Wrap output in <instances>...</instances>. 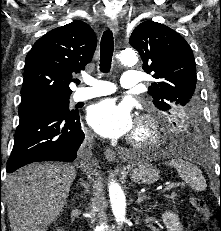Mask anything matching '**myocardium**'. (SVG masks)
Masks as SVG:
<instances>
[{
  "instance_id": "f54148a6",
  "label": "myocardium",
  "mask_w": 221,
  "mask_h": 231,
  "mask_svg": "<svg viewBox=\"0 0 221 231\" xmlns=\"http://www.w3.org/2000/svg\"><path fill=\"white\" fill-rule=\"evenodd\" d=\"M161 128L158 118L151 114H142L128 142L135 148H151L159 144Z\"/></svg>"
}]
</instances>
